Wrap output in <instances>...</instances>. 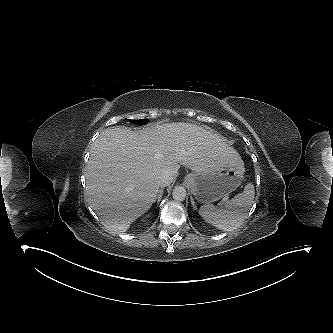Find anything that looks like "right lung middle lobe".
<instances>
[{
	"instance_id": "dd1d6c3e",
	"label": "right lung middle lobe",
	"mask_w": 333,
	"mask_h": 333,
	"mask_svg": "<svg viewBox=\"0 0 333 333\" xmlns=\"http://www.w3.org/2000/svg\"><path fill=\"white\" fill-rule=\"evenodd\" d=\"M128 121L135 123V124H145L148 122V119H141V120H130L128 119Z\"/></svg>"
}]
</instances>
